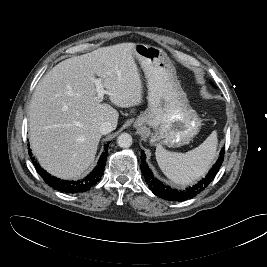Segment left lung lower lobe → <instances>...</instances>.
I'll use <instances>...</instances> for the list:
<instances>
[{
	"label": "left lung lower lobe",
	"instance_id": "0a47b994",
	"mask_svg": "<svg viewBox=\"0 0 267 267\" xmlns=\"http://www.w3.org/2000/svg\"><path fill=\"white\" fill-rule=\"evenodd\" d=\"M141 154H142L141 170L152 192L155 195L165 200L184 201L186 199L196 196L198 193L204 190L209 185V183L214 179L216 173L219 171V168L222 165L224 149L221 150L218 161L215 163V165L212 167L209 173L205 176V178L199 181L195 186L190 187L189 189L183 191H177L171 189L170 187L165 186L162 182L154 178L151 170L148 168V166L144 161L145 159L144 152L141 151Z\"/></svg>",
	"mask_w": 267,
	"mask_h": 267
}]
</instances>
